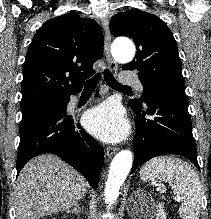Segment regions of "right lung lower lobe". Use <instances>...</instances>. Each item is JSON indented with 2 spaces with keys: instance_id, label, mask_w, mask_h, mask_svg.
<instances>
[{
  "instance_id": "98d812e1",
  "label": "right lung lower lobe",
  "mask_w": 211,
  "mask_h": 219,
  "mask_svg": "<svg viewBox=\"0 0 211 219\" xmlns=\"http://www.w3.org/2000/svg\"><path fill=\"white\" fill-rule=\"evenodd\" d=\"M69 101L67 98L62 104L22 117L17 174L31 158L52 153L78 170L96 189L104 150L81 128L75 116L67 114Z\"/></svg>"
}]
</instances>
